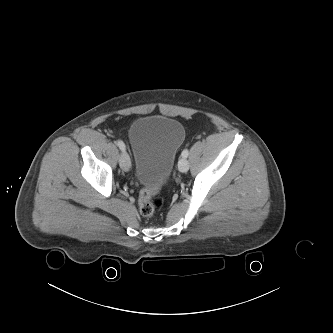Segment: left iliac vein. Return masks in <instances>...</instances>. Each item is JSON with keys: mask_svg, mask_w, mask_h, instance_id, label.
<instances>
[{"mask_svg": "<svg viewBox=\"0 0 333 333\" xmlns=\"http://www.w3.org/2000/svg\"><path fill=\"white\" fill-rule=\"evenodd\" d=\"M178 168L183 173L187 172L188 169H189V162H188V160L185 159V158L180 159L179 162H178Z\"/></svg>", "mask_w": 333, "mask_h": 333, "instance_id": "obj_1", "label": "left iliac vein"}]
</instances>
